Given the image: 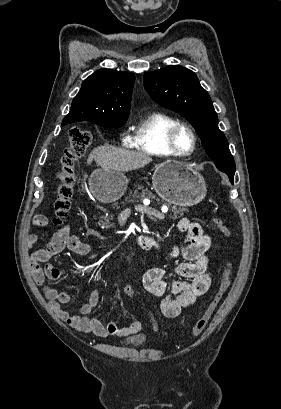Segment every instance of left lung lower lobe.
Returning <instances> with one entry per match:
<instances>
[{
    "mask_svg": "<svg viewBox=\"0 0 281 409\" xmlns=\"http://www.w3.org/2000/svg\"><path fill=\"white\" fill-rule=\"evenodd\" d=\"M230 179V182L233 184V180H234V173H226Z\"/></svg>",
    "mask_w": 281,
    "mask_h": 409,
    "instance_id": "1",
    "label": "left lung lower lobe"
}]
</instances>
